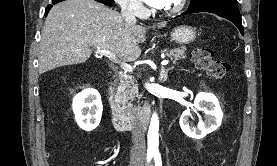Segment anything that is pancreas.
I'll return each mask as SVG.
<instances>
[{"instance_id":"obj_1","label":"pancreas","mask_w":277,"mask_h":166,"mask_svg":"<svg viewBox=\"0 0 277 166\" xmlns=\"http://www.w3.org/2000/svg\"><path fill=\"white\" fill-rule=\"evenodd\" d=\"M163 53H165L166 56L170 57L173 63H176V61H179L186 57V48L171 50L165 49ZM115 86V98L120 101V103L125 109L133 111L134 109L132 108V105L129 103V100L133 99V94L136 89V85L134 84L132 76L128 75L127 71L121 72L118 79L115 81Z\"/></svg>"}]
</instances>
